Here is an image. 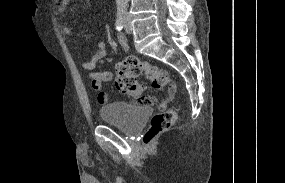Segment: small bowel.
<instances>
[{
	"label": "small bowel",
	"instance_id": "obj_1",
	"mask_svg": "<svg viewBox=\"0 0 285 183\" xmlns=\"http://www.w3.org/2000/svg\"><path fill=\"white\" fill-rule=\"evenodd\" d=\"M70 0H64L62 4L58 7L59 12H64L67 6V3ZM62 31L67 36H76L74 31L67 25L62 27ZM119 42L127 52L129 50L126 38L123 35L118 36ZM107 54V44L104 41H99L96 44L95 52L85 61L82 62V67L86 70H92L95 68L97 63L103 59ZM112 72L110 71H91L89 73V79L91 81V87L94 91L97 92V101L100 104H106L108 102V94L102 89L103 83L108 82L112 79ZM174 88L171 87L169 91V96L167 99L164 100L165 106H167L168 102L173 97Z\"/></svg>",
	"mask_w": 285,
	"mask_h": 183
}]
</instances>
